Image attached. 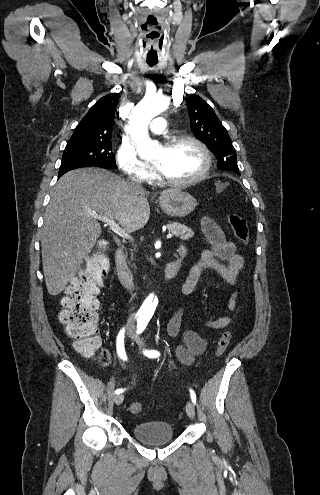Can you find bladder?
I'll list each match as a JSON object with an SVG mask.
<instances>
[{"label": "bladder", "mask_w": 320, "mask_h": 495, "mask_svg": "<svg viewBox=\"0 0 320 495\" xmlns=\"http://www.w3.org/2000/svg\"><path fill=\"white\" fill-rule=\"evenodd\" d=\"M132 432L136 439L146 444L169 443L174 438L172 426L163 421H148L136 424Z\"/></svg>", "instance_id": "31cf9c89"}]
</instances>
